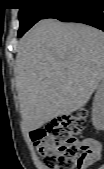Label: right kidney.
<instances>
[{"instance_id":"1","label":"right kidney","mask_w":104,"mask_h":169,"mask_svg":"<svg viewBox=\"0 0 104 169\" xmlns=\"http://www.w3.org/2000/svg\"><path fill=\"white\" fill-rule=\"evenodd\" d=\"M92 123L98 130L104 128V83L102 82L96 91L92 107Z\"/></svg>"}]
</instances>
